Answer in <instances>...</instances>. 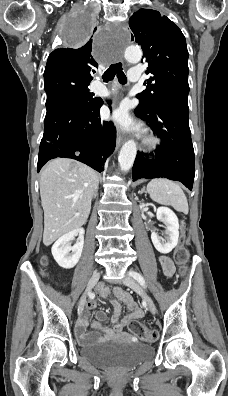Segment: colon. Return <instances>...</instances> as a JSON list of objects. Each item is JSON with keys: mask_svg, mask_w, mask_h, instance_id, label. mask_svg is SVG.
<instances>
[{"mask_svg": "<svg viewBox=\"0 0 228 396\" xmlns=\"http://www.w3.org/2000/svg\"><path fill=\"white\" fill-rule=\"evenodd\" d=\"M182 242L184 241V236H181ZM188 252L183 247L180 246L175 252V260L176 262L184 267L188 261ZM47 262L46 258H43L42 263L45 265ZM129 330L139 336L140 338L147 341H154L157 338V332L155 330H149L141 325L137 320L130 321L128 324Z\"/></svg>", "mask_w": 228, "mask_h": 396, "instance_id": "5ec220e1", "label": "colon"}]
</instances>
